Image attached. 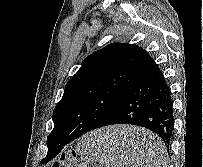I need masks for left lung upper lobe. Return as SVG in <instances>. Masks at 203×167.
Here are the masks:
<instances>
[{
	"label": "left lung upper lobe",
	"instance_id": "1",
	"mask_svg": "<svg viewBox=\"0 0 203 167\" xmlns=\"http://www.w3.org/2000/svg\"><path fill=\"white\" fill-rule=\"evenodd\" d=\"M150 58L143 48L127 43L109 44L85 58L54 109L48 149L60 139L73 141L98 128Z\"/></svg>",
	"mask_w": 203,
	"mask_h": 167
}]
</instances>
